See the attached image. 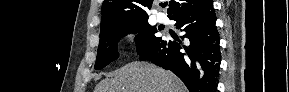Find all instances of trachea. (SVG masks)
Here are the masks:
<instances>
[{
  "label": "trachea",
  "mask_w": 289,
  "mask_h": 92,
  "mask_svg": "<svg viewBox=\"0 0 289 92\" xmlns=\"http://www.w3.org/2000/svg\"><path fill=\"white\" fill-rule=\"evenodd\" d=\"M166 5H167V4H162L161 6H162V7H166Z\"/></svg>",
  "instance_id": "trachea-1"
}]
</instances>
